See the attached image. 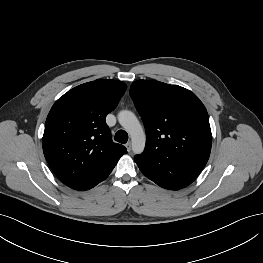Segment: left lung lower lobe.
I'll list each match as a JSON object with an SVG mask.
<instances>
[{
	"label": "left lung lower lobe",
	"mask_w": 263,
	"mask_h": 263,
	"mask_svg": "<svg viewBox=\"0 0 263 263\" xmlns=\"http://www.w3.org/2000/svg\"><path fill=\"white\" fill-rule=\"evenodd\" d=\"M141 172L157 185L178 190L191 184L201 170L173 159H158L146 155L135 156Z\"/></svg>",
	"instance_id": "obj_1"
}]
</instances>
